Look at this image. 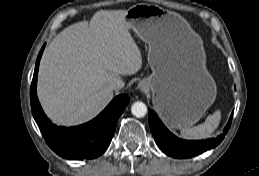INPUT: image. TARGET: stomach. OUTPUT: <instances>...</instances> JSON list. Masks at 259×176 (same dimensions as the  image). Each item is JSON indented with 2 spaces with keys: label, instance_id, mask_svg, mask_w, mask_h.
Here are the masks:
<instances>
[{
  "label": "stomach",
  "instance_id": "stomach-1",
  "mask_svg": "<svg viewBox=\"0 0 259 176\" xmlns=\"http://www.w3.org/2000/svg\"><path fill=\"white\" fill-rule=\"evenodd\" d=\"M124 20L149 46L152 74L139 86L151 91L161 118L179 129L198 122L217 93L216 84L204 67L201 39L183 18L158 5H134Z\"/></svg>",
  "mask_w": 259,
  "mask_h": 176
}]
</instances>
